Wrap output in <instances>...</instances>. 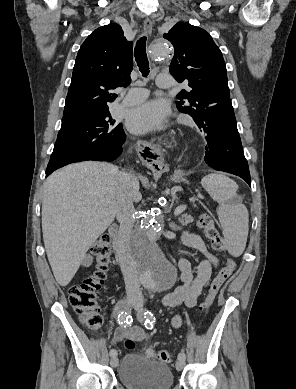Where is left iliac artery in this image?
<instances>
[{
    "label": "left iliac artery",
    "mask_w": 296,
    "mask_h": 389,
    "mask_svg": "<svg viewBox=\"0 0 296 389\" xmlns=\"http://www.w3.org/2000/svg\"><path fill=\"white\" fill-rule=\"evenodd\" d=\"M144 318H145V321H144L145 327L147 329H153V324L155 323V320H156L154 315L150 311L147 310V311L144 312ZM185 358H186L185 353L183 351H181L178 354V359L185 360Z\"/></svg>",
    "instance_id": "1"
}]
</instances>
